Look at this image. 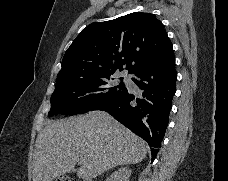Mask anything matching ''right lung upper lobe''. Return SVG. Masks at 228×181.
<instances>
[{"mask_svg":"<svg viewBox=\"0 0 228 181\" xmlns=\"http://www.w3.org/2000/svg\"><path fill=\"white\" fill-rule=\"evenodd\" d=\"M172 48L163 24L153 14L134 12L84 28L66 51L56 86L133 73Z\"/></svg>","mask_w":228,"mask_h":181,"instance_id":"cb5924a9","label":"right lung upper lobe"}]
</instances>
